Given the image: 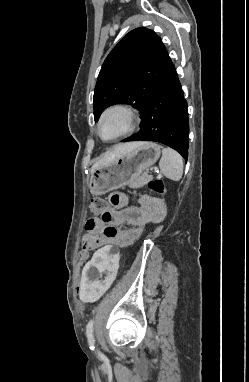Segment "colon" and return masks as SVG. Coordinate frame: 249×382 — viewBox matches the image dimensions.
<instances>
[{
    "mask_svg": "<svg viewBox=\"0 0 249 382\" xmlns=\"http://www.w3.org/2000/svg\"><path fill=\"white\" fill-rule=\"evenodd\" d=\"M149 188L157 193H163L165 190L164 183L160 179H153L149 182ZM106 207L105 200L101 197H93L89 203V209L93 214L100 215ZM87 257V250L82 249L79 253V259L85 260Z\"/></svg>",
    "mask_w": 249,
    "mask_h": 382,
    "instance_id": "5ec220e1",
    "label": "colon"
}]
</instances>
